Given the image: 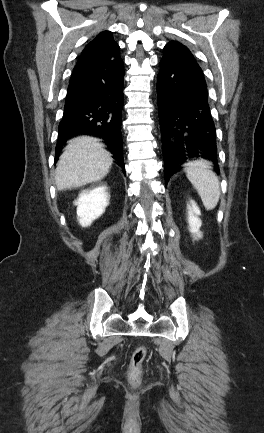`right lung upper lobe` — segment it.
Here are the masks:
<instances>
[{
  "instance_id": "cb5924a9",
  "label": "right lung upper lobe",
  "mask_w": 264,
  "mask_h": 433,
  "mask_svg": "<svg viewBox=\"0 0 264 433\" xmlns=\"http://www.w3.org/2000/svg\"><path fill=\"white\" fill-rule=\"evenodd\" d=\"M119 49L120 47L113 40L112 33L110 31H104L88 43L80 57L97 55L103 58L116 59L120 57Z\"/></svg>"
}]
</instances>
